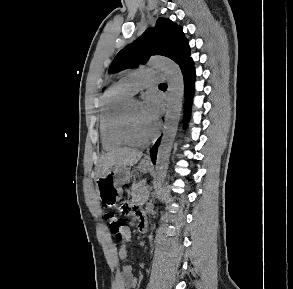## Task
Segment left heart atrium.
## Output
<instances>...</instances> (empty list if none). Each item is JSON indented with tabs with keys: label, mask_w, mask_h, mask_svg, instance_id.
<instances>
[{
	"label": "left heart atrium",
	"mask_w": 293,
	"mask_h": 289,
	"mask_svg": "<svg viewBox=\"0 0 293 289\" xmlns=\"http://www.w3.org/2000/svg\"><path fill=\"white\" fill-rule=\"evenodd\" d=\"M142 109L145 117L156 124L163 109L160 97L153 93L147 94L142 104Z\"/></svg>",
	"instance_id": "left-heart-atrium-1"
}]
</instances>
